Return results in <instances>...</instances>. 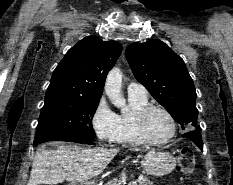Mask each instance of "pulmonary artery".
<instances>
[{
    "label": "pulmonary artery",
    "mask_w": 233,
    "mask_h": 185,
    "mask_svg": "<svg viewBox=\"0 0 233 185\" xmlns=\"http://www.w3.org/2000/svg\"><path fill=\"white\" fill-rule=\"evenodd\" d=\"M127 93L128 95H139V96H146L147 91L145 87L139 83L131 82L127 86Z\"/></svg>",
    "instance_id": "obj_1"
}]
</instances>
